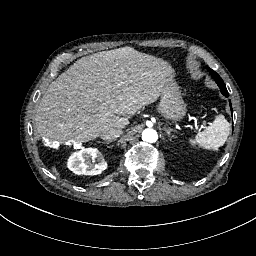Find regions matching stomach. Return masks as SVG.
Here are the masks:
<instances>
[{
  "label": "stomach",
  "mask_w": 256,
  "mask_h": 256,
  "mask_svg": "<svg viewBox=\"0 0 256 256\" xmlns=\"http://www.w3.org/2000/svg\"><path fill=\"white\" fill-rule=\"evenodd\" d=\"M158 111L164 118L174 121H178L185 116L186 104L175 79L167 82L161 88Z\"/></svg>",
  "instance_id": "0dacf381"
}]
</instances>
